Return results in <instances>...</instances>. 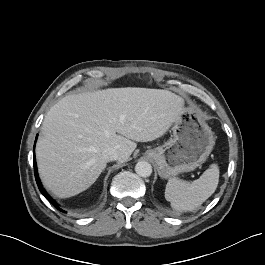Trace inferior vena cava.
I'll use <instances>...</instances> for the list:
<instances>
[{"label": "inferior vena cava", "mask_w": 265, "mask_h": 265, "mask_svg": "<svg viewBox=\"0 0 265 265\" xmlns=\"http://www.w3.org/2000/svg\"><path fill=\"white\" fill-rule=\"evenodd\" d=\"M103 157L107 162H109V161L117 160L119 157V154L114 148H108L103 151Z\"/></svg>", "instance_id": "inferior-vena-cava-1"}]
</instances>
